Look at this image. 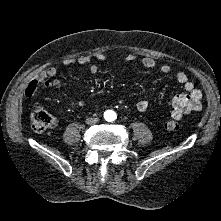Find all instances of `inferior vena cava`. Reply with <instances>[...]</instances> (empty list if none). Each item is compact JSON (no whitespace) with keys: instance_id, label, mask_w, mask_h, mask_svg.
Masks as SVG:
<instances>
[{"instance_id":"obj_1","label":"inferior vena cava","mask_w":221,"mask_h":221,"mask_svg":"<svg viewBox=\"0 0 221 221\" xmlns=\"http://www.w3.org/2000/svg\"><path fill=\"white\" fill-rule=\"evenodd\" d=\"M97 121H98L97 118H88V119L86 120V123H88V124H93V123H95V122H97Z\"/></svg>"}]
</instances>
